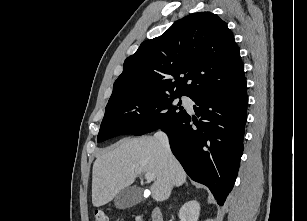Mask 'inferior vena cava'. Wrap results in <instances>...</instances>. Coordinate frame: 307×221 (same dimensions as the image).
Here are the masks:
<instances>
[{"label":"inferior vena cava","mask_w":307,"mask_h":221,"mask_svg":"<svg viewBox=\"0 0 307 221\" xmlns=\"http://www.w3.org/2000/svg\"><path fill=\"white\" fill-rule=\"evenodd\" d=\"M155 137L164 145V147L168 152H171L168 137L164 132L162 131L157 132L155 134Z\"/></svg>","instance_id":"obj_1"}]
</instances>
